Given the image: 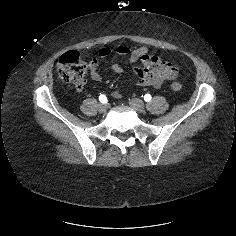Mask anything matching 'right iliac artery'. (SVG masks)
I'll return each instance as SVG.
<instances>
[{"label": "right iliac artery", "instance_id": "1", "mask_svg": "<svg viewBox=\"0 0 236 236\" xmlns=\"http://www.w3.org/2000/svg\"><path fill=\"white\" fill-rule=\"evenodd\" d=\"M99 101H100L101 103H105V102L107 101L106 96L103 95V94H101V95L99 96Z\"/></svg>", "mask_w": 236, "mask_h": 236}]
</instances>
